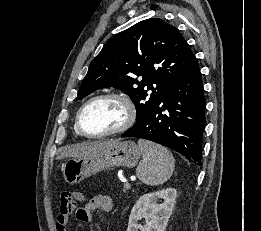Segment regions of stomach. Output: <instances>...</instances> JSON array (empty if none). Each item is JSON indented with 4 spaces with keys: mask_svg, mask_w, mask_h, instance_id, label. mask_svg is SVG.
I'll use <instances>...</instances> for the list:
<instances>
[{
    "mask_svg": "<svg viewBox=\"0 0 261 231\" xmlns=\"http://www.w3.org/2000/svg\"><path fill=\"white\" fill-rule=\"evenodd\" d=\"M141 150L133 141H117L105 149L81 158H70L62 166L65 181L71 185L102 170L113 167H135Z\"/></svg>",
    "mask_w": 261,
    "mask_h": 231,
    "instance_id": "obj_1",
    "label": "stomach"
}]
</instances>
